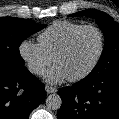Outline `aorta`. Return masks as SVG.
Segmentation results:
<instances>
[{
    "label": "aorta",
    "instance_id": "1",
    "mask_svg": "<svg viewBox=\"0 0 119 119\" xmlns=\"http://www.w3.org/2000/svg\"><path fill=\"white\" fill-rule=\"evenodd\" d=\"M45 101L47 108L50 110H58L62 105V99L58 94H50Z\"/></svg>",
    "mask_w": 119,
    "mask_h": 119
}]
</instances>
